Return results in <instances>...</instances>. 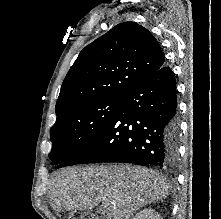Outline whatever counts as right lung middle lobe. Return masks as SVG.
<instances>
[{"label": "right lung middle lobe", "mask_w": 221, "mask_h": 219, "mask_svg": "<svg viewBox=\"0 0 221 219\" xmlns=\"http://www.w3.org/2000/svg\"><path fill=\"white\" fill-rule=\"evenodd\" d=\"M121 98H103L77 105L59 117L51 128V160L61 164L83 150L107 125Z\"/></svg>", "instance_id": "dd1d6c3e"}]
</instances>
